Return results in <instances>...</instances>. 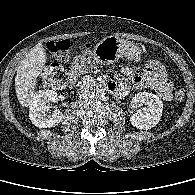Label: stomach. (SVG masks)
<instances>
[{
  "label": "stomach",
  "mask_w": 195,
  "mask_h": 195,
  "mask_svg": "<svg viewBox=\"0 0 195 195\" xmlns=\"http://www.w3.org/2000/svg\"><path fill=\"white\" fill-rule=\"evenodd\" d=\"M93 55L96 62L103 65L113 64L121 57L138 62L141 58V50L133 42L109 36L94 47Z\"/></svg>",
  "instance_id": "0dacf381"
}]
</instances>
